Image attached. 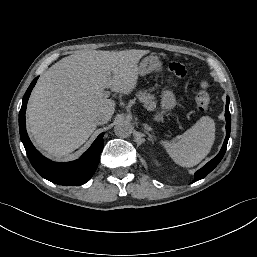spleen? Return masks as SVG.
Here are the masks:
<instances>
[{"label": "spleen", "mask_w": 257, "mask_h": 257, "mask_svg": "<svg viewBox=\"0 0 257 257\" xmlns=\"http://www.w3.org/2000/svg\"><path fill=\"white\" fill-rule=\"evenodd\" d=\"M215 141V122L209 116L200 118L190 129L163 143L169 156L180 166L193 167L210 152Z\"/></svg>", "instance_id": "obj_1"}]
</instances>
